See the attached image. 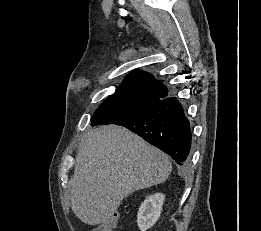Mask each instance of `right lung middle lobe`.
I'll return each instance as SVG.
<instances>
[{
    "mask_svg": "<svg viewBox=\"0 0 261 231\" xmlns=\"http://www.w3.org/2000/svg\"><path fill=\"white\" fill-rule=\"evenodd\" d=\"M162 99L139 88H120L109 96L91 118V125L115 124L133 117Z\"/></svg>",
    "mask_w": 261,
    "mask_h": 231,
    "instance_id": "obj_1",
    "label": "right lung middle lobe"
}]
</instances>
